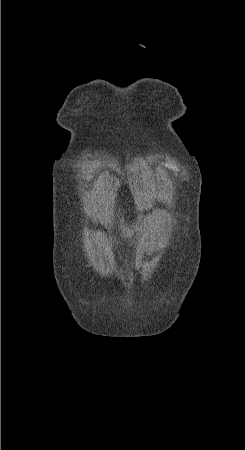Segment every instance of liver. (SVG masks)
<instances>
[{
    "label": "liver",
    "mask_w": 245,
    "mask_h": 450,
    "mask_svg": "<svg viewBox=\"0 0 245 450\" xmlns=\"http://www.w3.org/2000/svg\"><path fill=\"white\" fill-rule=\"evenodd\" d=\"M121 229L125 236L131 237L133 235V230L128 228L127 226H121Z\"/></svg>",
    "instance_id": "1"
}]
</instances>
